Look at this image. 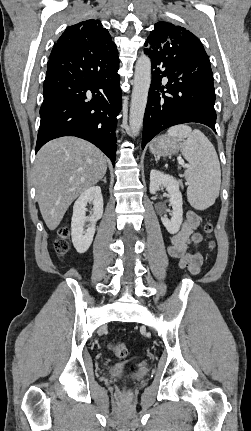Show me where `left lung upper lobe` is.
<instances>
[{"mask_svg":"<svg viewBox=\"0 0 251 431\" xmlns=\"http://www.w3.org/2000/svg\"><path fill=\"white\" fill-rule=\"evenodd\" d=\"M149 37L162 43H168L169 45L177 44V46L182 47L191 45L193 48L207 55L203 45L194 34L181 26H176L169 22L161 21L156 23Z\"/></svg>","mask_w":251,"mask_h":431,"instance_id":"left-lung-upper-lobe-1","label":"left lung upper lobe"}]
</instances>
